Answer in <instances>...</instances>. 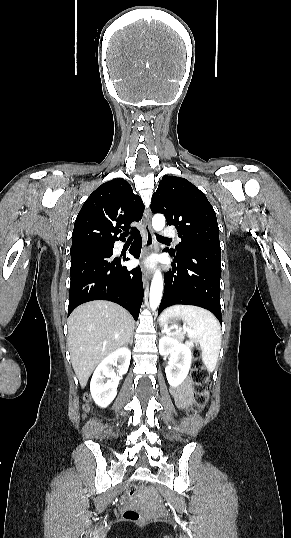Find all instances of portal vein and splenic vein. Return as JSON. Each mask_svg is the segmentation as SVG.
<instances>
[{
	"label": "portal vein and splenic vein",
	"instance_id": "18ae733b",
	"mask_svg": "<svg viewBox=\"0 0 291 538\" xmlns=\"http://www.w3.org/2000/svg\"><path fill=\"white\" fill-rule=\"evenodd\" d=\"M188 334H189V335H193V332L189 331Z\"/></svg>",
	"mask_w": 291,
	"mask_h": 538
}]
</instances>
